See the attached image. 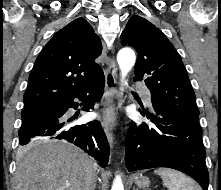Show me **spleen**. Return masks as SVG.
Here are the masks:
<instances>
[{
	"label": "spleen",
	"mask_w": 221,
	"mask_h": 190,
	"mask_svg": "<svg viewBox=\"0 0 221 190\" xmlns=\"http://www.w3.org/2000/svg\"><path fill=\"white\" fill-rule=\"evenodd\" d=\"M154 173L162 178L163 185L169 190H201L192 179L177 170L158 168Z\"/></svg>",
	"instance_id": "spleen-1"
}]
</instances>
